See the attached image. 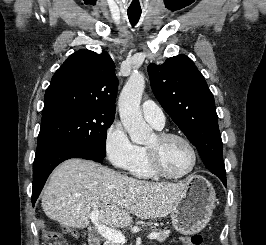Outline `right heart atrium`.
Segmentation results:
<instances>
[{
	"label": "right heart atrium",
	"mask_w": 266,
	"mask_h": 245,
	"mask_svg": "<svg viewBox=\"0 0 266 245\" xmlns=\"http://www.w3.org/2000/svg\"><path fill=\"white\" fill-rule=\"evenodd\" d=\"M104 150L112 165L126 171L134 169L142 154V149L131 141L123 125L117 121L105 132Z\"/></svg>",
	"instance_id": "1"
}]
</instances>
